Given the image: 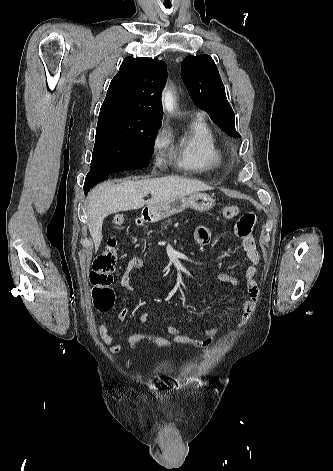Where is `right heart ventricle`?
Segmentation results:
<instances>
[{
  "label": "right heart ventricle",
  "instance_id": "e07e8e85",
  "mask_svg": "<svg viewBox=\"0 0 333 471\" xmlns=\"http://www.w3.org/2000/svg\"><path fill=\"white\" fill-rule=\"evenodd\" d=\"M174 155L181 167L200 171L218 167L223 159L214 131L202 118L195 119L177 140Z\"/></svg>",
  "mask_w": 333,
  "mask_h": 471
}]
</instances>
